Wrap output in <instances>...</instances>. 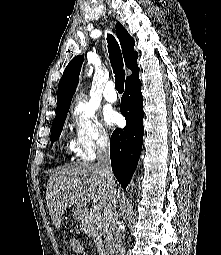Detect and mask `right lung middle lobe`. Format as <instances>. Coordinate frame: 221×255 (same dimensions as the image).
<instances>
[{"mask_svg": "<svg viewBox=\"0 0 221 255\" xmlns=\"http://www.w3.org/2000/svg\"><path fill=\"white\" fill-rule=\"evenodd\" d=\"M67 112L57 113L56 117L52 124V130H51V143L55 141V139L61 134L63 125L67 116Z\"/></svg>", "mask_w": 221, "mask_h": 255, "instance_id": "dd1d6c3e", "label": "right lung middle lobe"}]
</instances>
